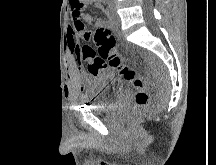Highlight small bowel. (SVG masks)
I'll return each mask as SVG.
<instances>
[{"label":"small bowel","instance_id":"1","mask_svg":"<svg viewBox=\"0 0 216 165\" xmlns=\"http://www.w3.org/2000/svg\"><path fill=\"white\" fill-rule=\"evenodd\" d=\"M102 2L103 0H86L85 5L101 6ZM84 12H85L84 8L75 9L74 7H72V19L68 26V31H67L69 48L71 52L75 54L79 64L83 60L81 56L79 40L83 39L85 41H90L91 39V32L86 30L84 22H87V23L92 22V17L89 14L84 13ZM104 12H105V15L96 22V25L102 26V27H109L110 21H109V18L107 16L105 9H104Z\"/></svg>","mask_w":216,"mask_h":165}]
</instances>
